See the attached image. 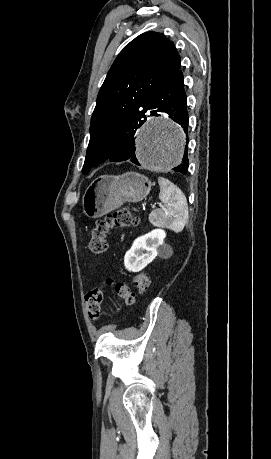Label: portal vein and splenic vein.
<instances>
[{"label": "portal vein and splenic vein", "instance_id": "obj_1", "mask_svg": "<svg viewBox=\"0 0 271 459\" xmlns=\"http://www.w3.org/2000/svg\"><path fill=\"white\" fill-rule=\"evenodd\" d=\"M151 206H152L153 209L155 208V204H152Z\"/></svg>", "mask_w": 271, "mask_h": 459}]
</instances>
